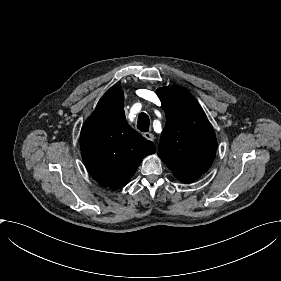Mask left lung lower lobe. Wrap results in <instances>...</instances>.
I'll list each match as a JSON object with an SVG mask.
<instances>
[{"instance_id": "obj_1", "label": "left lung lower lobe", "mask_w": 281, "mask_h": 281, "mask_svg": "<svg viewBox=\"0 0 281 281\" xmlns=\"http://www.w3.org/2000/svg\"><path fill=\"white\" fill-rule=\"evenodd\" d=\"M175 177L182 182L189 183V182H192V181L196 180L199 176L198 177H191V176L180 175V176H175Z\"/></svg>"}]
</instances>
